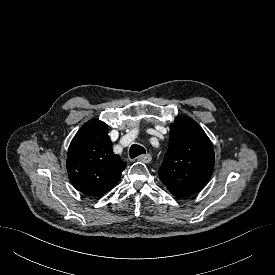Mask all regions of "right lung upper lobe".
Here are the masks:
<instances>
[{
  "mask_svg": "<svg viewBox=\"0 0 275 275\" xmlns=\"http://www.w3.org/2000/svg\"><path fill=\"white\" fill-rule=\"evenodd\" d=\"M126 163L113 153L108 126L93 119L71 141L67 170L73 186L89 196H102L119 181Z\"/></svg>",
  "mask_w": 275,
  "mask_h": 275,
  "instance_id": "1",
  "label": "right lung upper lobe"
}]
</instances>
